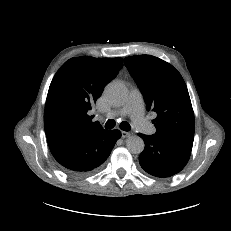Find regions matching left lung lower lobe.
<instances>
[{
  "label": "left lung lower lobe",
  "mask_w": 231,
  "mask_h": 231,
  "mask_svg": "<svg viewBox=\"0 0 231 231\" xmlns=\"http://www.w3.org/2000/svg\"><path fill=\"white\" fill-rule=\"evenodd\" d=\"M138 135L145 142L139 163L147 173L156 177H170L180 172L187 164L193 143L156 135Z\"/></svg>",
  "instance_id": "obj_1"
}]
</instances>
